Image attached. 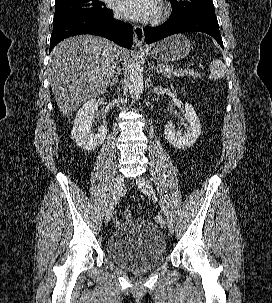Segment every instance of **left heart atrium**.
<instances>
[{
	"instance_id": "39dd6f15",
	"label": "left heart atrium",
	"mask_w": 272,
	"mask_h": 303,
	"mask_svg": "<svg viewBox=\"0 0 272 303\" xmlns=\"http://www.w3.org/2000/svg\"><path fill=\"white\" fill-rule=\"evenodd\" d=\"M116 11L119 16L136 21H147L159 12L158 0H117Z\"/></svg>"
}]
</instances>
